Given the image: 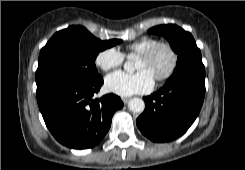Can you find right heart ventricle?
Masks as SVG:
<instances>
[{
    "mask_svg": "<svg viewBox=\"0 0 245 170\" xmlns=\"http://www.w3.org/2000/svg\"><path fill=\"white\" fill-rule=\"evenodd\" d=\"M159 42L155 38L144 37L139 40H136L126 46L127 55H139L141 52L149 49L155 43Z\"/></svg>",
    "mask_w": 245,
    "mask_h": 170,
    "instance_id": "e07e8e85",
    "label": "right heart ventricle"
}]
</instances>
